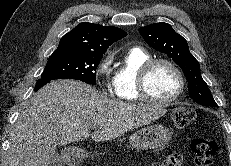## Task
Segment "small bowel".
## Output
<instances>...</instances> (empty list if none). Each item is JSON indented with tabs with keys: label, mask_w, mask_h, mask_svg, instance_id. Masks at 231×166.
I'll use <instances>...</instances> for the list:
<instances>
[{
	"label": "small bowel",
	"mask_w": 231,
	"mask_h": 166,
	"mask_svg": "<svg viewBox=\"0 0 231 166\" xmlns=\"http://www.w3.org/2000/svg\"><path fill=\"white\" fill-rule=\"evenodd\" d=\"M151 166H157V164H152Z\"/></svg>",
	"instance_id": "1"
}]
</instances>
